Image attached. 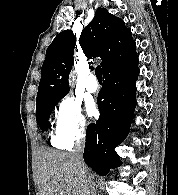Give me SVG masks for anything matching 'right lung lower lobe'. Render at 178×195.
<instances>
[{"label": "right lung lower lobe", "mask_w": 178, "mask_h": 195, "mask_svg": "<svg viewBox=\"0 0 178 195\" xmlns=\"http://www.w3.org/2000/svg\"><path fill=\"white\" fill-rule=\"evenodd\" d=\"M138 61L129 67L104 76L98 94L99 120L86 131L84 161L96 173L107 175L122 164L114 148L128 135L136 105Z\"/></svg>", "instance_id": "1"}]
</instances>
